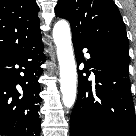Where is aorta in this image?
<instances>
[{
    "instance_id": "aorta-1",
    "label": "aorta",
    "mask_w": 136,
    "mask_h": 136,
    "mask_svg": "<svg viewBox=\"0 0 136 136\" xmlns=\"http://www.w3.org/2000/svg\"><path fill=\"white\" fill-rule=\"evenodd\" d=\"M53 38L60 66V89L65 107L71 108L76 99L77 72L72 49L70 25L59 20L53 28Z\"/></svg>"
}]
</instances>
